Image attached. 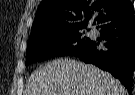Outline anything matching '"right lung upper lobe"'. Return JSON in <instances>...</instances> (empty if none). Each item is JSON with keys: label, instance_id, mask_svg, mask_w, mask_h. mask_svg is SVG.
Segmentation results:
<instances>
[{"label": "right lung upper lobe", "instance_id": "cb5924a9", "mask_svg": "<svg viewBox=\"0 0 135 95\" xmlns=\"http://www.w3.org/2000/svg\"><path fill=\"white\" fill-rule=\"evenodd\" d=\"M133 9L130 0H42L31 35L78 31L85 28L96 13L95 20L102 25L134 14Z\"/></svg>", "mask_w": 135, "mask_h": 95}]
</instances>
